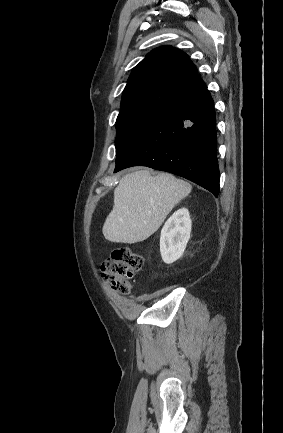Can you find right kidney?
<instances>
[{
    "label": "right kidney",
    "mask_w": 283,
    "mask_h": 433,
    "mask_svg": "<svg viewBox=\"0 0 283 433\" xmlns=\"http://www.w3.org/2000/svg\"><path fill=\"white\" fill-rule=\"evenodd\" d=\"M191 228L192 222L186 208L177 210L165 222L160 236V253L166 264H172L183 255Z\"/></svg>",
    "instance_id": "1"
}]
</instances>
